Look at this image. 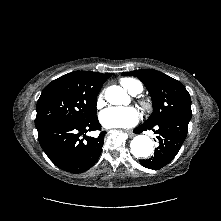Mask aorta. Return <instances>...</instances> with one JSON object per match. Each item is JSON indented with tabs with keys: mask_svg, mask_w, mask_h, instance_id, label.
I'll return each instance as SVG.
<instances>
[{
	"mask_svg": "<svg viewBox=\"0 0 221 221\" xmlns=\"http://www.w3.org/2000/svg\"><path fill=\"white\" fill-rule=\"evenodd\" d=\"M105 99L112 105L125 103L126 93L119 86H110L105 91ZM154 143L146 135H138L130 143L131 153L137 158H148L153 152Z\"/></svg>",
	"mask_w": 221,
	"mask_h": 221,
	"instance_id": "aorta-1",
	"label": "aorta"
}]
</instances>
